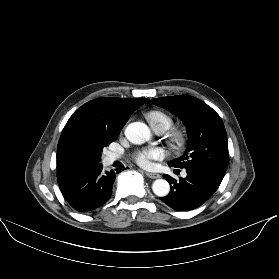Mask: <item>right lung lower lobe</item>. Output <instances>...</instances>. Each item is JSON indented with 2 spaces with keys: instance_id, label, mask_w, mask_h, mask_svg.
I'll return each mask as SVG.
<instances>
[{
  "instance_id": "obj_1",
  "label": "right lung lower lobe",
  "mask_w": 279,
  "mask_h": 279,
  "mask_svg": "<svg viewBox=\"0 0 279 279\" xmlns=\"http://www.w3.org/2000/svg\"><path fill=\"white\" fill-rule=\"evenodd\" d=\"M120 169L103 170L102 164L82 166L57 176L67 202L79 212L93 211L109 200L112 184Z\"/></svg>"
}]
</instances>
